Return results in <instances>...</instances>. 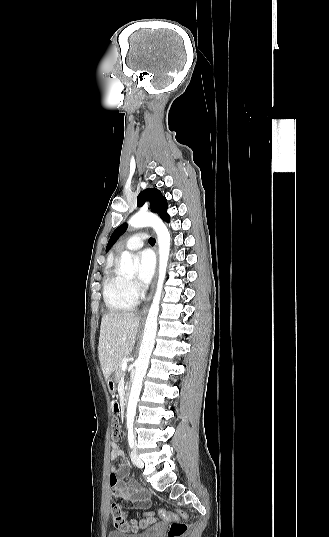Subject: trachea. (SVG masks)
<instances>
[{
    "instance_id": "3493384b",
    "label": "trachea",
    "mask_w": 329,
    "mask_h": 537,
    "mask_svg": "<svg viewBox=\"0 0 329 537\" xmlns=\"http://www.w3.org/2000/svg\"><path fill=\"white\" fill-rule=\"evenodd\" d=\"M149 242H150V244L154 245V244H155V239H154V238H150Z\"/></svg>"
}]
</instances>
